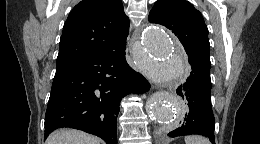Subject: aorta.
Masks as SVG:
<instances>
[{
  "label": "aorta",
  "instance_id": "aorta-1",
  "mask_svg": "<svg viewBox=\"0 0 260 144\" xmlns=\"http://www.w3.org/2000/svg\"><path fill=\"white\" fill-rule=\"evenodd\" d=\"M145 57L138 58L142 72L154 83H173L186 73L182 49L163 27L149 25L142 36ZM180 99L173 93H155L147 100L149 117L176 126L182 118Z\"/></svg>",
  "mask_w": 260,
  "mask_h": 144
}]
</instances>
